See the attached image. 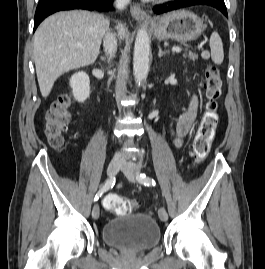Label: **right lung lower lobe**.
I'll return each instance as SVG.
<instances>
[{
  "mask_svg": "<svg viewBox=\"0 0 265 269\" xmlns=\"http://www.w3.org/2000/svg\"><path fill=\"white\" fill-rule=\"evenodd\" d=\"M113 0H40L35 13L34 31L49 15L71 9L106 11L112 9Z\"/></svg>",
  "mask_w": 265,
  "mask_h": 269,
  "instance_id": "1",
  "label": "right lung lower lobe"
}]
</instances>
